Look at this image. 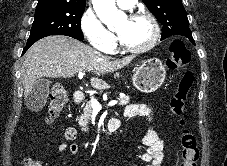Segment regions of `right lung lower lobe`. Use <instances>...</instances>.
<instances>
[{
	"mask_svg": "<svg viewBox=\"0 0 227 166\" xmlns=\"http://www.w3.org/2000/svg\"><path fill=\"white\" fill-rule=\"evenodd\" d=\"M35 42H29V43H27L26 44V47L23 49V53L22 54H24L27 50H28V48L31 46V45H33Z\"/></svg>",
	"mask_w": 227,
	"mask_h": 166,
	"instance_id": "right-lung-lower-lobe-1",
	"label": "right lung lower lobe"
}]
</instances>
